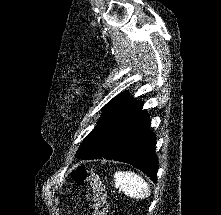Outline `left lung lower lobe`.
Here are the masks:
<instances>
[{
  "mask_svg": "<svg viewBox=\"0 0 221 215\" xmlns=\"http://www.w3.org/2000/svg\"><path fill=\"white\" fill-rule=\"evenodd\" d=\"M149 125V115L136 104L113 129L101 157L129 163L156 182V140Z\"/></svg>",
  "mask_w": 221,
  "mask_h": 215,
  "instance_id": "1",
  "label": "left lung lower lobe"
}]
</instances>
